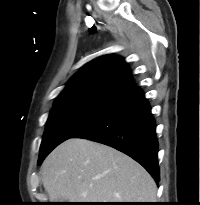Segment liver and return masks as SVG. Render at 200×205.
Returning <instances> with one entry per match:
<instances>
[{"label":"liver","mask_w":200,"mask_h":205,"mask_svg":"<svg viewBox=\"0 0 200 205\" xmlns=\"http://www.w3.org/2000/svg\"><path fill=\"white\" fill-rule=\"evenodd\" d=\"M42 182L50 200L155 202L150 174L127 155L86 139H68L44 160Z\"/></svg>","instance_id":"6515ba94"}]
</instances>
